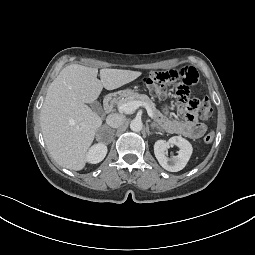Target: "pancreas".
<instances>
[{"label": "pancreas", "mask_w": 255, "mask_h": 255, "mask_svg": "<svg viewBox=\"0 0 255 255\" xmlns=\"http://www.w3.org/2000/svg\"><path fill=\"white\" fill-rule=\"evenodd\" d=\"M131 101H140L148 105L154 114H158V111L155 107V103L152 102V100L145 94H138V93H133L131 95L126 96L125 98H121L117 101L118 105L131 102Z\"/></svg>", "instance_id": "obj_1"}]
</instances>
